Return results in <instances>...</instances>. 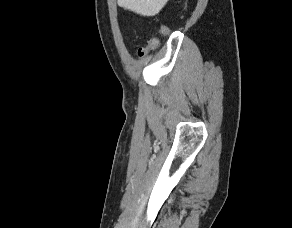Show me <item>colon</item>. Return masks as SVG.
Instances as JSON below:
<instances>
[{
	"label": "colon",
	"instance_id": "1",
	"mask_svg": "<svg viewBox=\"0 0 292 228\" xmlns=\"http://www.w3.org/2000/svg\"><path fill=\"white\" fill-rule=\"evenodd\" d=\"M155 44H156V42L153 41V42H151L147 47H144V48L140 49L139 55H140V56H144V55H146L147 52H148L149 50H151V49L155 46Z\"/></svg>",
	"mask_w": 292,
	"mask_h": 228
}]
</instances>
